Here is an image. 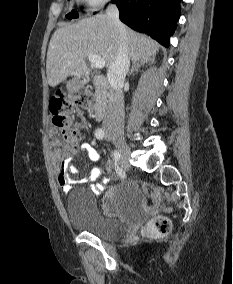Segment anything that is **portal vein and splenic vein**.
Returning a JSON list of instances; mask_svg holds the SVG:
<instances>
[{"mask_svg": "<svg viewBox=\"0 0 233 284\" xmlns=\"http://www.w3.org/2000/svg\"><path fill=\"white\" fill-rule=\"evenodd\" d=\"M88 59L91 64L97 69H102L105 66V61L100 56L91 54L88 56Z\"/></svg>", "mask_w": 233, "mask_h": 284, "instance_id": "1", "label": "portal vein and splenic vein"}]
</instances>
